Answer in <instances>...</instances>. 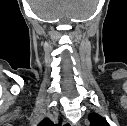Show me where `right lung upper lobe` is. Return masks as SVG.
I'll list each match as a JSON object with an SVG mask.
<instances>
[{"mask_svg": "<svg viewBox=\"0 0 127 126\" xmlns=\"http://www.w3.org/2000/svg\"><path fill=\"white\" fill-rule=\"evenodd\" d=\"M38 126H57V125H54L53 122H51L49 119H44L38 124ZM58 126H60V124Z\"/></svg>", "mask_w": 127, "mask_h": 126, "instance_id": "obj_1", "label": "right lung upper lobe"}]
</instances>
